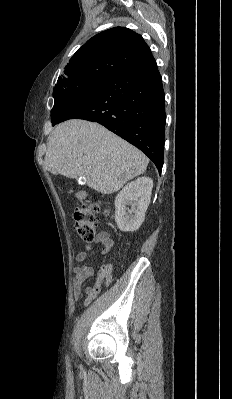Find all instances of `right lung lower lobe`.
<instances>
[{"mask_svg": "<svg viewBox=\"0 0 232 399\" xmlns=\"http://www.w3.org/2000/svg\"><path fill=\"white\" fill-rule=\"evenodd\" d=\"M164 102L162 78L154 57L150 56L110 76L86 97L67 103L54 125L74 118L98 122L143 151L161 173Z\"/></svg>", "mask_w": 232, "mask_h": 399, "instance_id": "1", "label": "right lung lower lobe"}]
</instances>
